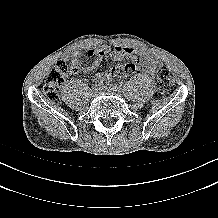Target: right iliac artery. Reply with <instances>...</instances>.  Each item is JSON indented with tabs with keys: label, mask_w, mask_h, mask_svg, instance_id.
Wrapping results in <instances>:
<instances>
[{
	"label": "right iliac artery",
	"mask_w": 218,
	"mask_h": 218,
	"mask_svg": "<svg viewBox=\"0 0 218 218\" xmlns=\"http://www.w3.org/2000/svg\"><path fill=\"white\" fill-rule=\"evenodd\" d=\"M103 84V79L95 78L93 87L101 86Z\"/></svg>",
	"instance_id": "right-iliac-artery-1"
}]
</instances>
